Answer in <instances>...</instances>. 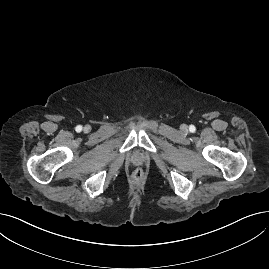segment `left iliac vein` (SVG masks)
<instances>
[{"label":"left iliac vein","instance_id":"1","mask_svg":"<svg viewBox=\"0 0 269 269\" xmlns=\"http://www.w3.org/2000/svg\"><path fill=\"white\" fill-rule=\"evenodd\" d=\"M181 129H182L183 131H186V130L188 129V127H187V125L183 124V125L181 126Z\"/></svg>","mask_w":269,"mask_h":269}]
</instances>
